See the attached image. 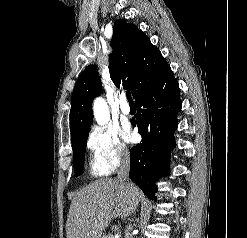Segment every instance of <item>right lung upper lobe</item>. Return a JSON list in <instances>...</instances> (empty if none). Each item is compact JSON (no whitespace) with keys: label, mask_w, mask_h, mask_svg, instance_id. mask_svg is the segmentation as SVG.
<instances>
[{"label":"right lung upper lobe","mask_w":247,"mask_h":238,"mask_svg":"<svg viewBox=\"0 0 247 238\" xmlns=\"http://www.w3.org/2000/svg\"><path fill=\"white\" fill-rule=\"evenodd\" d=\"M109 72L116 86L123 83L136 99L169 68L159 49L136 25L117 20L111 40ZM102 91L95 66L89 65L78 78L72 93L70 130L72 145L89 134L92 123V102Z\"/></svg>","instance_id":"1"}]
</instances>
